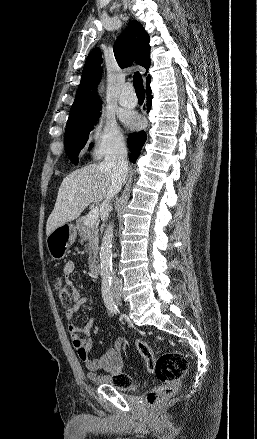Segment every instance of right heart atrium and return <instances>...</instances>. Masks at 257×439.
I'll list each match as a JSON object with an SVG mask.
<instances>
[{"label": "right heart atrium", "instance_id": "d8ad5b80", "mask_svg": "<svg viewBox=\"0 0 257 439\" xmlns=\"http://www.w3.org/2000/svg\"><path fill=\"white\" fill-rule=\"evenodd\" d=\"M89 143L92 147V155L101 158L122 145L123 135L113 118L103 116L93 126Z\"/></svg>", "mask_w": 257, "mask_h": 439}]
</instances>
